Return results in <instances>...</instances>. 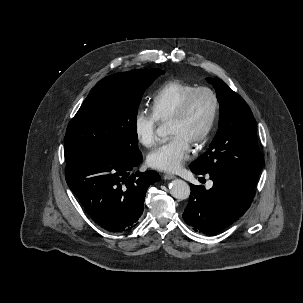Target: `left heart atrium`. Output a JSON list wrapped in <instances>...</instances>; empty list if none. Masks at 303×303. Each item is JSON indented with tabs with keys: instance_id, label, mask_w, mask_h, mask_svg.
Masks as SVG:
<instances>
[{
	"instance_id": "left-heart-atrium-1",
	"label": "left heart atrium",
	"mask_w": 303,
	"mask_h": 303,
	"mask_svg": "<svg viewBox=\"0 0 303 303\" xmlns=\"http://www.w3.org/2000/svg\"><path fill=\"white\" fill-rule=\"evenodd\" d=\"M190 152L191 143L181 135H174L148 155V163L157 170L175 172L182 167Z\"/></svg>"
}]
</instances>
